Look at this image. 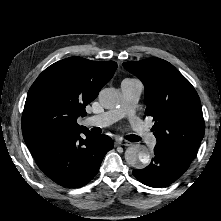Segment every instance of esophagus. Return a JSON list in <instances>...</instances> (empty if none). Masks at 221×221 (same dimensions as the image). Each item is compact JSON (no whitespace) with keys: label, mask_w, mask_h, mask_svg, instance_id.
Segmentation results:
<instances>
[{"label":"esophagus","mask_w":221,"mask_h":221,"mask_svg":"<svg viewBox=\"0 0 221 221\" xmlns=\"http://www.w3.org/2000/svg\"><path fill=\"white\" fill-rule=\"evenodd\" d=\"M116 144H117V145H121V146H129V145H130V143H129L128 141L122 140V139L117 140V141H116Z\"/></svg>","instance_id":"obj_1"}]
</instances>
